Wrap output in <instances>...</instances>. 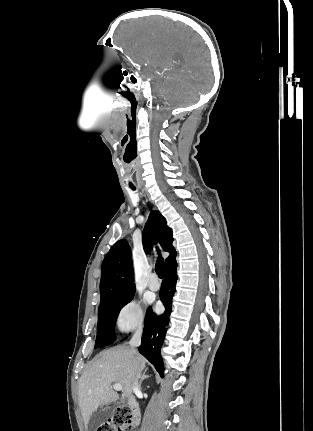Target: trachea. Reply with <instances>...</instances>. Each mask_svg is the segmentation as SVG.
<instances>
[{"instance_id": "1", "label": "trachea", "mask_w": 313, "mask_h": 431, "mask_svg": "<svg viewBox=\"0 0 313 431\" xmlns=\"http://www.w3.org/2000/svg\"><path fill=\"white\" fill-rule=\"evenodd\" d=\"M131 189L135 190V187H131ZM155 271H156L158 277L160 279H162L163 275H164V260L161 257V255H159V257L157 259V262H156V265H155Z\"/></svg>"}]
</instances>
